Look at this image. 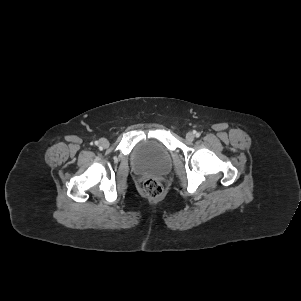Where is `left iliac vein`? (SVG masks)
<instances>
[{
	"mask_svg": "<svg viewBox=\"0 0 301 301\" xmlns=\"http://www.w3.org/2000/svg\"><path fill=\"white\" fill-rule=\"evenodd\" d=\"M194 134L192 133V132H188L187 134H186V139L188 140V141H193L194 140Z\"/></svg>",
	"mask_w": 301,
	"mask_h": 301,
	"instance_id": "1",
	"label": "left iliac vein"
}]
</instances>
